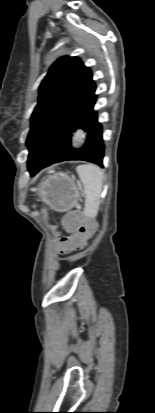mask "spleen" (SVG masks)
<instances>
[{
	"label": "spleen",
	"mask_w": 155,
	"mask_h": 413,
	"mask_svg": "<svg viewBox=\"0 0 155 413\" xmlns=\"http://www.w3.org/2000/svg\"><path fill=\"white\" fill-rule=\"evenodd\" d=\"M76 171L83 184L86 195L84 215L89 218H95L100 206L104 172L93 164L79 165Z\"/></svg>",
	"instance_id": "spleen-1"
}]
</instances>
